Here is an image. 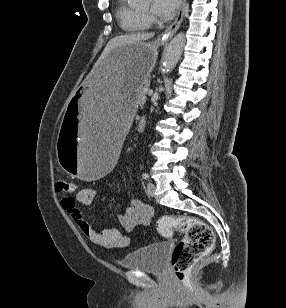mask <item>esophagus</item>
Returning <instances> with one entry per match:
<instances>
[{
	"mask_svg": "<svg viewBox=\"0 0 286 308\" xmlns=\"http://www.w3.org/2000/svg\"><path fill=\"white\" fill-rule=\"evenodd\" d=\"M186 0L180 1V7L178 10V14L174 22L166 28V30L159 36V39H161L163 42L169 41L172 36L176 33L178 28L180 27V24L183 19L184 15V8H185Z\"/></svg>",
	"mask_w": 286,
	"mask_h": 308,
	"instance_id": "obj_1",
	"label": "esophagus"
}]
</instances>
